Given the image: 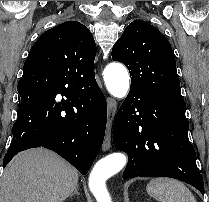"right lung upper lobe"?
I'll list each match as a JSON object with an SVG mask.
<instances>
[{
	"label": "right lung upper lobe",
	"instance_id": "obj_1",
	"mask_svg": "<svg viewBox=\"0 0 209 202\" xmlns=\"http://www.w3.org/2000/svg\"><path fill=\"white\" fill-rule=\"evenodd\" d=\"M96 44L89 29L77 21H67L44 32L30 49L23 72L38 69L69 83L77 90L96 83Z\"/></svg>",
	"mask_w": 209,
	"mask_h": 202
}]
</instances>
